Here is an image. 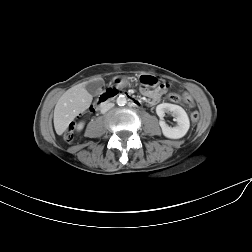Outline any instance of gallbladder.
<instances>
[{
  "label": "gallbladder",
  "mask_w": 252,
  "mask_h": 252,
  "mask_svg": "<svg viewBox=\"0 0 252 252\" xmlns=\"http://www.w3.org/2000/svg\"><path fill=\"white\" fill-rule=\"evenodd\" d=\"M85 88L91 95H97L102 89V81L97 80L89 82L86 84Z\"/></svg>",
  "instance_id": "1"
}]
</instances>
